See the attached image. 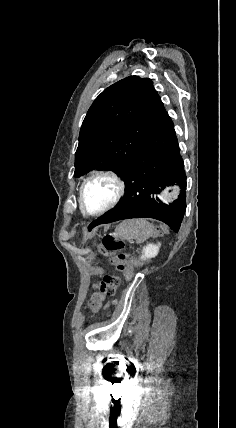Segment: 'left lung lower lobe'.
<instances>
[{"mask_svg":"<svg viewBox=\"0 0 236 428\" xmlns=\"http://www.w3.org/2000/svg\"><path fill=\"white\" fill-rule=\"evenodd\" d=\"M122 179L125 194L121 202L94 220L89 231L100 224L146 217L163 221L175 232L179 231L186 209V175L174 125L166 111L145 135ZM174 183L182 191L176 201L166 205L157 195L171 191Z\"/></svg>","mask_w":236,"mask_h":428,"instance_id":"1","label":"left lung lower lobe"}]
</instances>
